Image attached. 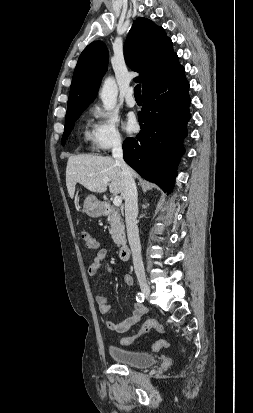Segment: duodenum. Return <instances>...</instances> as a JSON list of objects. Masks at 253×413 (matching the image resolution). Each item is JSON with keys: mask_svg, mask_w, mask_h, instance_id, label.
Returning <instances> with one entry per match:
<instances>
[{"mask_svg": "<svg viewBox=\"0 0 253 413\" xmlns=\"http://www.w3.org/2000/svg\"><path fill=\"white\" fill-rule=\"evenodd\" d=\"M119 257L121 260L126 261L130 257V248L128 244L123 243L119 248Z\"/></svg>", "mask_w": 253, "mask_h": 413, "instance_id": "duodenum-1", "label": "duodenum"}]
</instances>
